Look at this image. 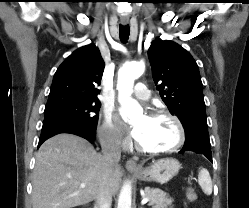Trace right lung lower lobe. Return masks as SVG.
I'll use <instances>...</instances> for the list:
<instances>
[{"mask_svg":"<svg viewBox=\"0 0 249 208\" xmlns=\"http://www.w3.org/2000/svg\"><path fill=\"white\" fill-rule=\"evenodd\" d=\"M95 131L96 128H88L74 122L57 119H45L43 122L38 147L48 138L60 133L75 134L87 139L89 142H93L95 139Z\"/></svg>","mask_w":249,"mask_h":208,"instance_id":"1","label":"right lung lower lobe"}]
</instances>
